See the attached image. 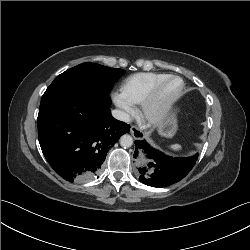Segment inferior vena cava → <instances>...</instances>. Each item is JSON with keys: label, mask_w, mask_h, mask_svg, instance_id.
Segmentation results:
<instances>
[{"label": "inferior vena cava", "mask_w": 250, "mask_h": 250, "mask_svg": "<svg viewBox=\"0 0 250 250\" xmlns=\"http://www.w3.org/2000/svg\"><path fill=\"white\" fill-rule=\"evenodd\" d=\"M112 116L120 121L129 123L131 121L130 115L122 110H112Z\"/></svg>", "instance_id": "602c4592"}]
</instances>
